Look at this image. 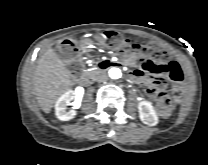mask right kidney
I'll use <instances>...</instances> for the list:
<instances>
[{"mask_svg":"<svg viewBox=\"0 0 208 165\" xmlns=\"http://www.w3.org/2000/svg\"><path fill=\"white\" fill-rule=\"evenodd\" d=\"M84 94V89L82 87H77L75 91L69 90L63 95H61L55 103V114L57 118L61 121H68L76 115V111L71 109L67 110V106L70 101H73L75 108L81 106L82 97Z\"/></svg>","mask_w":208,"mask_h":165,"instance_id":"obj_1","label":"right kidney"}]
</instances>
